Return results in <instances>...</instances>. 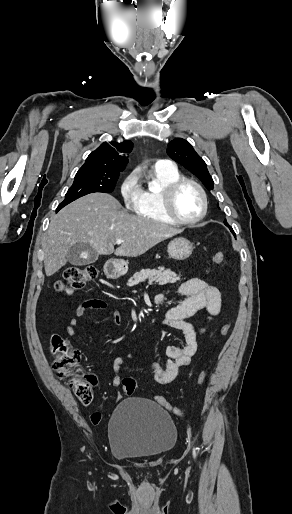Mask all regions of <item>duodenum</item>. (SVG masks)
Masks as SVG:
<instances>
[{
    "mask_svg": "<svg viewBox=\"0 0 292 514\" xmlns=\"http://www.w3.org/2000/svg\"><path fill=\"white\" fill-rule=\"evenodd\" d=\"M162 300H163V298H162V297H158V301H162Z\"/></svg>",
    "mask_w": 292,
    "mask_h": 514,
    "instance_id": "1",
    "label": "duodenum"
}]
</instances>
